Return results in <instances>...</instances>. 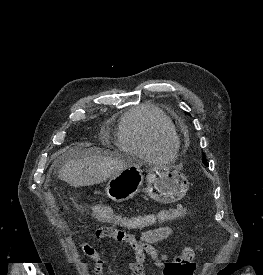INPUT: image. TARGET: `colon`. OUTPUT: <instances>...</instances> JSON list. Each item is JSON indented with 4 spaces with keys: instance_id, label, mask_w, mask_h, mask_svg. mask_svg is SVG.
<instances>
[{
    "instance_id": "obj_1",
    "label": "colon",
    "mask_w": 263,
    "mask_h": 275,
    "mask_svg": "<svg viewBox=\"0 0 263 275\" xmlns=\"http://www.w3.org/2000/svg\"><path fill=\"white\" fill-rule=\"evenodd\" d=\"M89 215L98 222H109L117 224L128 230H140L153 225L163 224L183 218L187 210L183 205L174 208L164 209L155 213L141 215H123L108 205H95L90 208ZM129 233L117 229L116 239H127ZM197 249L185 248L179 255L172 258L167 267L169 275H187L195 267L194 259Z\"/></svg>"
}]
</instances>
